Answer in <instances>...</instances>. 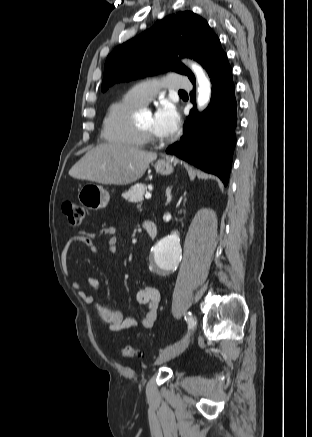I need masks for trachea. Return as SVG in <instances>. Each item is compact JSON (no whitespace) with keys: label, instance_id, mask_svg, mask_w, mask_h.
Masks as SVG:
<instances>
[{"label":"trachea","instance_id":"obj_1","mask_svg":"<svg viewBox=\"0 0 312 437\" xmlns=\"http://www.w3.org/2000/svg\"><path fill=\"white\" fill-rule=\"evenodd\" d=\"M179 93L185 94L186 92L184 90H180Z\"/></svg>","mask_w":312,"mask_h":437}]
</instances>
